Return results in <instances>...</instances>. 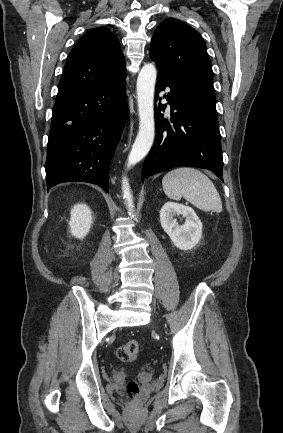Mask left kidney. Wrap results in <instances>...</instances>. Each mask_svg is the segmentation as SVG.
I'll use <instances>...</instances> for the list:
<instances>
[{
    "label": "left kidney",
    "mask_w": 283,
    "mask_h": 433,
    "mask_svg": "<svg viewBox=\"0 0 283 433\" xmlns=\"http://www.w3.org/2000/svg\"><path fill=\"white\" fill-rule=\"evenodd\" d=\"M175 215L185 217L184 224L179 225L174 218ZM160 222L163 230L180 250L192 249L201 239L202 223L189 206L175 202L165 203L160 211Z\"/></svg>",
    "instance_id": "obj_1"
}]
</instances>
